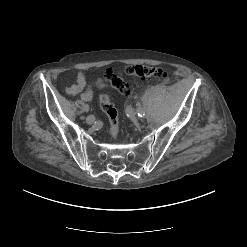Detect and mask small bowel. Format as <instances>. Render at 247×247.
Masks as SVG:
<instances>
[{
  "label": "small bowel",
  "instance_id": "c3829d8e",
  "mask_svg": "<svg viewBox=\"0 0 247 247\" xmlns=\"http://www.w3.org/2000/svg\"><path fill=\"white\" fill-rule=\"evenodd\" d=\"M86 87V78L83 73H79L76 78V82L66 88L67 93L76 95L81 93ZM92 98V91L88 88L82 94V99L88 101Z\"/></svg>",
  "mask_w": 247,
  "mask_h": 247
}]
</instances>
